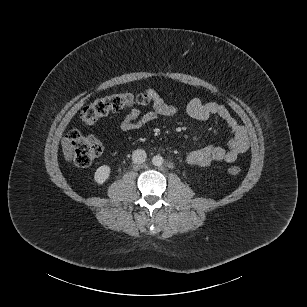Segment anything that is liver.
I'll list each match as a JSON object with an SVG mask.
<instances>
[{"label": "liver", "instance_id": "6515ba94", "mask_svg": "<svg viewBox=\"0 0 307 307\" xmlns=\"http://www.w3.org/2000/svg\"><path fill=\"white\" fill-rule=\"evenodd\" d=\"M61 145L65 161L71 163L74 157L75 146L67 136L62 137Z\"/></svg>", "mask_w": 307, "mask_h": 307}]
</instances>
